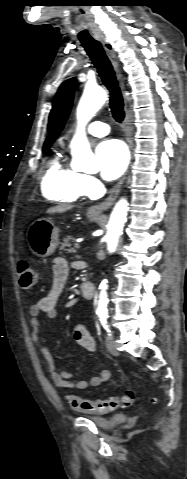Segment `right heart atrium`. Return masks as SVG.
I'll return each mask as SVG.
<instances>
[{"label": "right heart atrium", "instance_id": "right-heart-atrium-1", "mask_svg": "<svg viewBox=\"0 0 187 479\" xmlns=\"http://www.w3.org/2000/svg\"><path fill=\"white\" fill-rule=\"evenodd\" d=\"M80 184L84 194L86 195L95 194L100 185L99 181L95 177L87 174H81Z\"/></svg>", "mask_w": 187, "mask_h": 479}]
</instances>
